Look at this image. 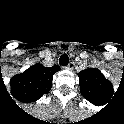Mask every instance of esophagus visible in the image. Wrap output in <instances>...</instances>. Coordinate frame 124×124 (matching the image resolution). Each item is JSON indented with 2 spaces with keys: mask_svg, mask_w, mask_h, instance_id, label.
<instances>
[{
  "mask_svg": "<svg viewBox=\"0 0 124 124\" xmlns=\"http://www.w3.org/2000/svg\"><path fill=\"white\" fill-rule=\"evenodd\" d=\"M75 67V64L73 62H70L65 68L72 70Z\"/></svg>",
  "mask_w": 124,
  "mask_h": 124,
  "instance_id": "1",
  "label": "esophagus"
}]
</instances>
